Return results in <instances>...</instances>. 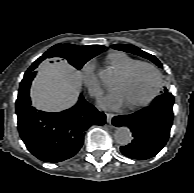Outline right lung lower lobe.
<instances>
[{
	"label": "right lung lower lobe",
	"mask_w": 194,
	"mask_h": 193,
	"mask_svg": "<svg viewBox=\"0 0 194 193\" xmlns=\"http://www.w3.org/2000/svg\"><path fill=\"white\" fill-rule=\"evenodd\" d=\"M18 129L27 149L38 159L57 163L74 156L82 147L84 134L93 124L103 125L104 113L80 95L78 103L59 113L31 106L29 94L16 101Z\"/></svg>",
	"instance_id": "98d812e1"
}]
</instances>
